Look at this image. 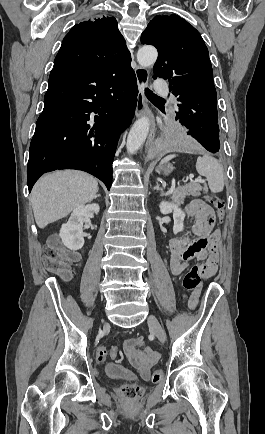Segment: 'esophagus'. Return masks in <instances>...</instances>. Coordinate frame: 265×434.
Segmentation results:
<instances>
[{
    "label": "esophagus",
    "mask_w": 265,
    "mask_h": 434,
    "mask_svg": "<svg viewBox=\"0 0 265 434\" xmlns=\"http://www.w3.org/2000/svg\"><path fill=\"white\" fill-rule=\"evenodd\" d=\"M135 75H136L137 87H138L135 116L141 117L142 115H147L149 118L150 131H149L148 139L146 141V147H149L156 135V124H155L154 116L146 103L145 94H144V89L145 87H147L149 81V71L144 67L138 66L135 69Z\"/></svg>",
    "instance_id": "obj_1"
}]
</instances>
